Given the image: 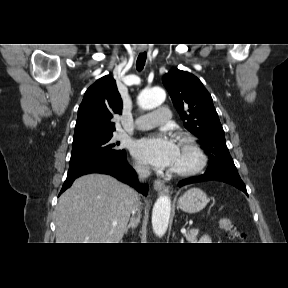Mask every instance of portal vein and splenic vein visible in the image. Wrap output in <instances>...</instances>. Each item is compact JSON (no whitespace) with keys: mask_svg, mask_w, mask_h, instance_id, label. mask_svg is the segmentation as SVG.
I'll return each mask as SVG.
<instances>
[{"mask_svg":"<svg viewBox=\"0 0 288 288\" xmlns=\"http://www.w3.org/2000/svg\"><path fill=\"white\" fill-rule=\"evenodd\" d=\"M113 225L116 226L117 224L114 223ZM181 233H182V234H186V229H185V228H182V229H181Z\"/></svg>","mask_w":288,"mask_h":288,"instance_id":"portal-vein-and-splenic-vein-1","label":"portal vein and splenic vein"}]
</instances>
